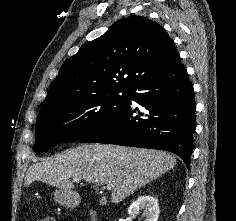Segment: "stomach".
I'll use <instances>...</instances> for the list:
<instances>
[{
  "label": "stomach",
  "mask_w": 236,
  "mask_h": 221,
  "mask_svg": "<svg viewBox=\"0 0 236 221\" xmlns=\"http://www.w3.org/2000/svg\"><path fill=\"white\" fill-rule=\"evenodd\" d=\"M55 200L65 207H75L80 202V196L76 192L58 189L54 193Z\"/></svg>",
  "instance_id": "obj_1"
}]
</instances>
